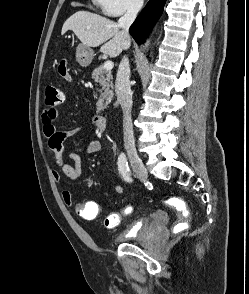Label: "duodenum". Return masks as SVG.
I'll return each instance as SVG.
<instances>
[{
	"mask_svg": "<svg viewBox=\"0 0 249 294\" xmlns=\"http://www.w3.org/2000/svg\"><path fill=\"white\" fill-rule=\"evenodd\" d=\"M92 124L98 131H104L106 129L107 120L102 115H95L92 118Z\"/></svg>",
	"mask_w": 249,
	"mask_h": 294,
	"instance_id": "duodenum-1",
	"label": "duodenum"
}]
</instances>
